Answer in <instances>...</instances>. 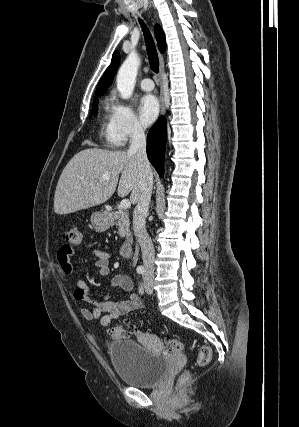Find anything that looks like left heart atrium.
Here are the masks:
<instances>
[{
  "mask_svg": "<svg viewBox=\"0 0 299 427\" xmlns=\"http://www.w3.org/2000/svg\"><path fill=\"white\" fill-rule=\"evenodd\" d=\"M159 113V103L155 96L145 95L138 103V114L141 122L148 126L152 124Z\"/></svg>",
  "mask_w": 299,
  "mask_h": 427,
  "instance_id": "left-heart-atrium-1",
  "label": "left heart atrium"
}]
</instances>
